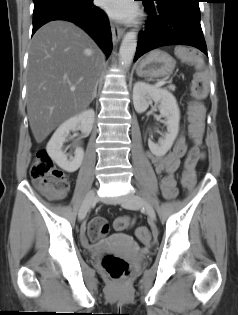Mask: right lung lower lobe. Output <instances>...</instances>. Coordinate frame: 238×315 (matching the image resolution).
Returning a JSON list of instances; mask_svg holds the SVG:
<instances>
[{
    "label": "right lung lower lobe",
    "instance_id": "1",
    "mask_svg": "<svg viewBox=\"0 0 238 315\" xmlns=\"http://www.w3.org/2000/svg\"><path fill=\"white\" fill-rule=\"evenodd\" d=\"M32 35L45 23L67 20L84 29L109 56L112 49V34L108 18L93 0H33Z\"/></svg>",
    "mask_w": 238,
    "mask_h": 315
}]
</instances>
